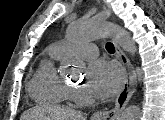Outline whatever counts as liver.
Returning a JSON list of instances; mask_svg holds the SVG:
<instances>
[{
    "label": "liver",
    "mask_w": 165,
    "mask_h": 120,
    "mask_svg": "<svg viewBox=\"0 0 165 120\" xmlns=\"http://www.w3.org/2000/svg\"><path fill=\"white\" fill-rule=\"evenodd\" d=\"M46 108L35 107L24 112L21 116V120H38L40 118H49L45 116ZM51 115L56 120H84V117L79 111H75L69 108H54L51 109Z\"/></svg>",
    "instance_id": "liver-1"
}]
</instances>
